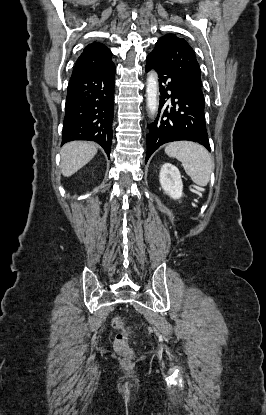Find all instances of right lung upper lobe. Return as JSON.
I'll list each match as a JSON object with an SVG mask.
<instances>
[{"mask_svg": "<svg viewBox=\"0 0 266 415\" xmlns=\"http://www.w3.org/2000/svg\"><path fill=\"white\" fill-rule=\"evenodd\" d=\"M111 54V51L102 43L93 42L88 44L77 59L71 79L91 75L109 68L113 65Z\"/></svg>", "mask_w": 266, "mask_h": 415, "instance_id": "cb5924a9", "label": "right lung upper lobe"}]
</instances>
